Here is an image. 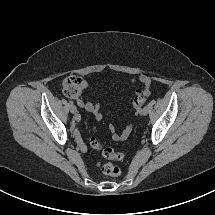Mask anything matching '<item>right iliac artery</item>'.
Masks as SVG:
<instances>
[{"instance_id": "1", "label": "right iliac artery", "mask_w": 215, "mask_h": 215, "mask_svg": "<svg viewBox=\"0 0 215 215\" xmlns=\"http://www.w3.org/2000/svg\"><path fill=\"white\" fill-rule=\"evenodd\" d=\"M69 105H73V102L72 101H69V103H68Z\"/></svg>"}]
</instances>
